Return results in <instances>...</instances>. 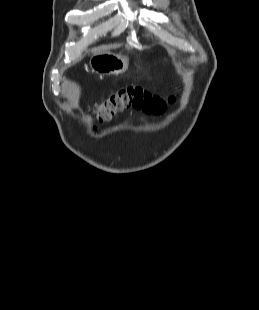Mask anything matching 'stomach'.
<instances>
[{"instance_id":"obj_1","label":"stomach","mask_w":259,"mask_h":310,"mask_svg":"<svg viewBox=\"0 0 259 310\" xmlns=\"http://www.w3.org/2000/svg\"><path fill=\"white\" fill-rule=\"evenodd\" d=\"M128 65L129 59L126 56L111 52L96 53L90 59L92 71L102 74H122L128 69Z\"/></svg>"}]
</instances>
